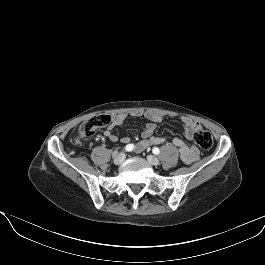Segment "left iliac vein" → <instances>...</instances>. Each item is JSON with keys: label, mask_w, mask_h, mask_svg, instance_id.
Returning a JSON list of instances; mask_svg holds the SVG:
<instances>
[{"label": "left iliac vein", "mask_w": 265, "mask_h": 265, "mask_svg": "<svg viewBox=\"0 0 265 265\" xmlns=\"http://www.w3.org/2000/svg\"><path fill=\"white\" fill-rule=\"evenodd\" d=\"M147 160L151 165H154V166H157L160 163L159 159L154 155H148Z\"/></svg>", "instance_id": "1"}]
</instances>
